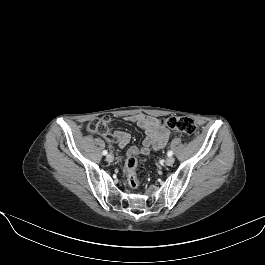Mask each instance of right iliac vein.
Instances as JSON below:
<instances>
[{
	"instance_id": "1",
	"label": "right iliac vein",
	"mask_w": 265,
	"mask_h": 265,
	"mask_svg": "<svg viewBox=\"0 0 265 265\" xmlns=\"http://www.w3.org/2000/svg\"><path fill=\"white\" fill-rule=\"evenodd\" d=\"M106 160H107V162H112L114 160V156L112 154H108L106 156Z\"/></svg>"
}]
</instances>
